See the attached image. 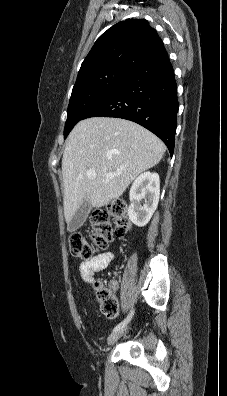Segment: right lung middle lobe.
<instances>
[{
  "instance_id": "1",
  "label": "right lung middle lobe",
  "mask_w": 227,
  "mask_h": 396,
  "mask_svg": "<svg viewBox=\"0 0 227 396\" xmlns=\"http://www.w3.org/2000/svg\"><path fill=\"white\" fill-rule=\"evenodd\" d=\"M131 71L124 68H111L93 73L75 83L68 106L64 138L83 119L84 115L110 94Z\"/></svg>"
}]
</instances>
